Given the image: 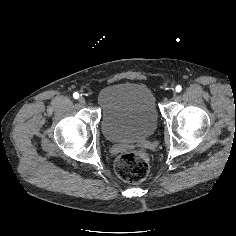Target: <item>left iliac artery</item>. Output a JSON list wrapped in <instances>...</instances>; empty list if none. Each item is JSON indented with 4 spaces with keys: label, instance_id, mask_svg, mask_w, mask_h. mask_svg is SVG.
I'll return each mask as SVG.
<instances>
[{
    "label": "left iliac artery",
    "instance_id": "1",
    "mask_svg": "<svg viewBox=\"0 0 236 236\" xmlns=\"http://www.w3.org/2000/svg\"><path fill=\"white\" fill-rule=\"evenodd\" d=\"M175 90H176V92H180L182 90V87L180 85H177Z\"/></svg>",
    "mask_w": 236,
    "mask_h": 236
}]
</instances>
